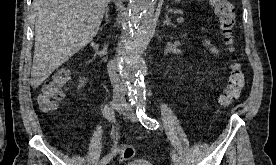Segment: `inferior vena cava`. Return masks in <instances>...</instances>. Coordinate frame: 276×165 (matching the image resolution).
I'll return each instance as SVG.
<instances>
[{"instance_id": "602c4592", "label": "inferior vena cava", "mask_w": 276, "mask_h": 165, "mask_svg": "<svg viewBox=\"0 0 276 165\" xmlns=\"http://www.w3.org/2000/svg\"><path fill=\"white\" fill-rule=\"evenodd\" d=\"M108 74L113 86V100L116 102L125 101V87L120 80V76L117 71L115 63L108 64Z\"/></svg>"}]
</instances>
